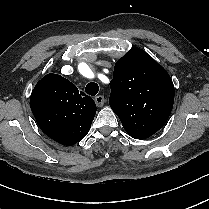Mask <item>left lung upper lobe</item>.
Wrapping results in <instances>:
<instances>
[{
	"mask_svg": "<svg viewBox=\"0 0 209 209\" xmlns=\"http://www.w3.org/2000/svg\"><path fill=\"white\" fill-rule=\"evenodd\" d=\"M110 86L109 105L131 137L146 139L168 120L174 103L173 82L142 49L133 48L116 62Z\"/></svg>",
	"mask_w": 209,
	"mask_h": 209,
	"instance_id": "5c2ea615",
	"label": "left lung upper lobe"
}]
</instances>
